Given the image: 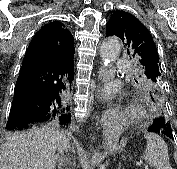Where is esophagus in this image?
<instances>
[{"instance_id":"obj_1","label":"esophagus","mask_w":177,"mask_h":169,"mask_svg":"<svg viewBox=\"0 0 177 169\" xmlns=\"http://www.w3.org/2000/svg\"><path fill=\"white\" fill-rule=\"evenodd\" d=\"M108 79L109 78L107 77V75L100 73L99 75L100 84L97 89L98 92H102V95H104L103 100H105L104 107H103V114L100 119V124L105 133L110 131V129L112 128L111 111L108 110L111 97H107V94H105L107 87H106V84H104L108 81Z\"/></svg>"}]
</instances>
